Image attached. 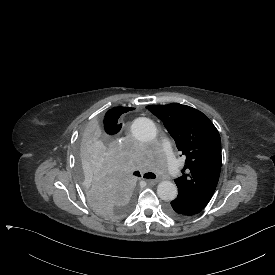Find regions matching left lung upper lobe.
<instances>
[{
    "mask_svg": "<svg viewBox=\"0 0 275 275\" xmlns=\"http://www.w3.org/2000/svg\"><path fill=\"white\" fill-rule=\"evenodd\" d=\"M186 156L182 176L175 179L178 197L206 206L221 170V140L213 123L200 111L179 103L149 105Z\"/></svg>",
    "mask_w": 275,
    "mask_h": 275,
    "instance_id": "left-lung-upper-lobe-1",
    "label": "left lung upper lobe"
}]
</instances>
